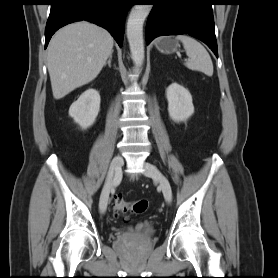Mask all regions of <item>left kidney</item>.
<instances>
[{
	"instance_id": "obj_1",
	"label": "left kidney",
	"mask_w": 278,
	"mask_h": 278,
	"mask_svg": "<svg viewBox=\"0 0 278 278\" xmlns=\"http://www.w3.org/2000/svg\"><path fill=\"white\" fill-rule=\"evenodd\" d=\"M168 112L175 122L186 121L194 113L190 92L178 83H172L166 90Z\"/></svg>"
}]
</instances>
